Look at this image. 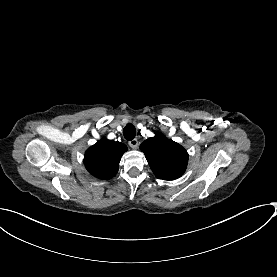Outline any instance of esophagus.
Segmentation results:
<instances>
[{"mask_svg":"<svg viewBox=\"0 0 277 277\" xmlns=\"http://www.w3.org/2000/svg\"><path fill=\"white\" fill-rule=\"evenodd\" d=\"M131 148L136 149L138 147V140L135 138L128 143Z\"/></svg>","mask_w":277,"mask_h":277,"instance_id":"34e87169","label":"esophagus"}]
</instances>
